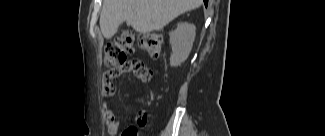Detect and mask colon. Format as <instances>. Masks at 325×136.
<instances>
[{
    "label": "colon",
    "instance_id": "colon-1",
    "mask_svg": "<svg viewBox=\"0 0 325 136\" xmlns=\"http://www.w3.org/2000/svg\"><path fill=\"white\" fill-rule=\"evenodd\" d=\"M135 34L131 31H124L113 41L107 44L104 53V63L106 66L121 65L126 61L129 54L135 50ZM140 47L152 58L160 57L164 40L159 33H145L138 37ZM121 136H139L135 127H128Z\"/></svg>",
    "mask_w": 325,
    "mask_h": 136
}]
</instances>
